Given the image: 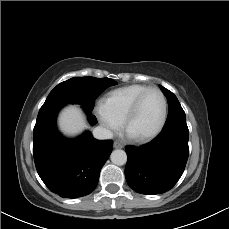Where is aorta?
<instances>
[{"mask_svg": "<svg viewBox=\"0 0 229 229\" xmlns=\"http://www.w3.org/2000/svg\"><path fill=\"white\" fill-rule=\"evenodd\" d=\"M110 158H111L112 163L118 166L124 165L127 161V155L125 151L121 149L114 150L111 153Z\"/></svg>", "mask_w": 229, "mask_h": 229, "instance_id": "obj_1", "label": "aorta"}]
</instances>
